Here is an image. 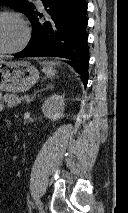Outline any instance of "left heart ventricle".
Here are the masks:
<instances>
[{"label": "left heart ventricle", "mask_w": 128, "mask_h": 213, "mask_svg": "<svg viewBox=\"0 0 128 213\" xmlns=\"http://www.w3.org/2000/svg\"><path fill=\"white\" fill-rule=\"evenodd\" d=\"M22 37L23 28L17 19L11 16H0V50L15 47Z\"/></svg>", "instance_id": "1"}]
</instances>
